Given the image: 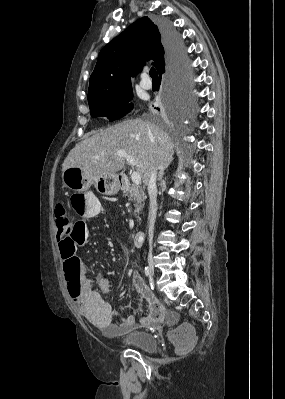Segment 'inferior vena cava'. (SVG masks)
Returning a JSON list of instances; mask_svg holds the SVG:
<instances>
[{
  "label": "inferior vena cava",
  "instance_id": "602c4592",
  "mask_svg": "<svg viewBox=\"0 0 285 399\" xmlns=\"http://www.w3.org/2000/svg\"><path fill=\"white\" fill-rule=\"evenodd\" d=\"M156 177H157V169L152 167L149 180H148V194H149V246L150 250H152V239H153V232L157 214V185H156Z\"/></svg>",
  "mask_w": 285,
  "mask_h": 399
}]
</instances>
